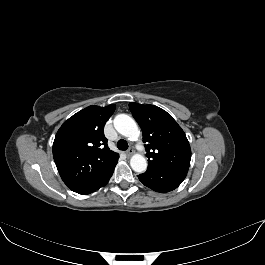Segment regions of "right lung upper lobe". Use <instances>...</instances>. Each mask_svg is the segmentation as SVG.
Segmentation results:
<instances>
[{"label": "right lung upper lobe", "mask_w": 265, "mask_h": 265, "mask_svg": "<svg viewBox=\"0 0 265 265\" xmlns=\"http://www.w3.org/2000/svg\"><path fill=\"white\" fill-rule=\"evenodd\" d=\"M115 108L114 104L88 106L59 128L53 157L62 180L72 191L98 178L118 161L119 154L110 150L103 131Z\"/></svg>", "instance_id": "1"}]
</instances>
